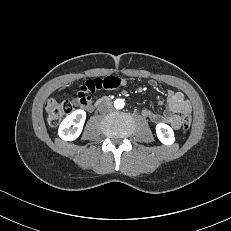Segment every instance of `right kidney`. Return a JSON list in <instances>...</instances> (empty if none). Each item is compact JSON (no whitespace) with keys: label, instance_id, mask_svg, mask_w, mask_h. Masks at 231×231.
Instances as JSON below:
<instances>
[{"label":"right kidney","instance_id":"right-kidney-1","mask_svg":"<svg viewBox=\"0 0 231 231\" xmlns=\"http://www.w3.org/2000/svg\"><path fill=\"white\" fill-rule=\"evenodd\" d=\"M86 119L84 110H75L68 115L60 124L58 134L62 140L73 141L79 137L82 132Z\"/></svg>","mask_w":231,"mask_h":231}]
</instances>
